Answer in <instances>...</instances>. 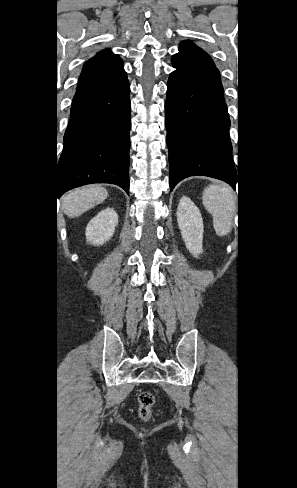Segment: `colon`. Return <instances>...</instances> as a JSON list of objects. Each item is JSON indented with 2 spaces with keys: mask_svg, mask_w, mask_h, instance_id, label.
<instances>
[{
  "mask_svg": "<svg viewBox=\"0 0 297 488\" xmlns=\"http://www.w3.org/2000/svg\"><path fill=\"white\" fill-rule=\"evenodd\" d=\"M155 398L151 392L144 391L138 396V416L143 421H148L152 417Z\"/></svg>",
  "mask_w": 297,
  "mask_h": 488,
  "instance_id": "obj_1",
  "label": "colon"
}]
</instances>
